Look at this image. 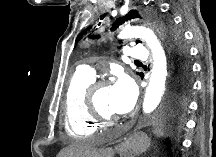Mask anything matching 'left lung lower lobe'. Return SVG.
<instances>
[{
	"mask_svg": "<svg viewBox=\"0 0 216 157\" xmlns=\"http://www.w3.org/2000/svg\"><path fill=\"white\" fill-rule=\"evenodd\" d=\"M190 89V78L188 81L180 83V81L174 75H172V80L169 85L168 97L161 114V118L163 120L173 121L174 125L178 124V118L186 107V97Z\"/></svg>",
	"mask_w": 216,
	"mask_h": 157,
	"instance_id": "left-lung-lower-lobe-1",
	"label": "left lung lower lobe"
}]
</instances>
